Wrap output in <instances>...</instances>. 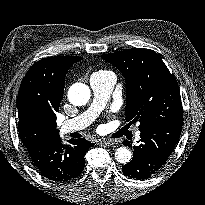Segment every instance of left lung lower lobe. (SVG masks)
<instances>
[{"label":"left lung lower lobe","instance_id":"0a47b994","mask_svg":"<svg viewBox=\"0 0 205 205\" xmlns=\"http://www.w3.org/2000/svg\"><path fill=\"white\" fill-rule=\"evenodd\" d=\"M183 119H174L141 130L140 144L133 146L132 160L122 167L125 176L148 179L165 165L178 142ZM124 145L132 147L125 140Z\"/></svg>","mask_w":205,"mask_h":205}]
</instances>
